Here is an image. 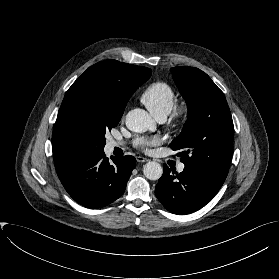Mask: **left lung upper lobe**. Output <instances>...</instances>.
<instances>
[{"label": "left lung upper lobe", "mask_w": 279, "mask_h": 279, "mask_svg": "<svg viewBox=\"0 0 279 279\" xmlns=\"http://www.w3.org/2000/svg\"><path fill=\"white\" fill-rule=\"evenodd\" d=\"M173 79L186 100L188 120L170 147L186 168L204 171L224 182L233 149V121L223 92L203 71L174 67Z\"/></svg>", "instance_id": "5c2ea615"}]
</instances>
